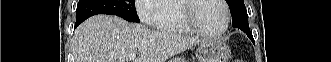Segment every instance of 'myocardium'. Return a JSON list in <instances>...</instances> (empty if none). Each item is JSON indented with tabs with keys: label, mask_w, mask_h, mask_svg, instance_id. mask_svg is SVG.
I'll return each instance as SVG.
<instances>
[{
	"label": "myocardium",
	"mask_w": 331,
	"mask_h": 62,
	"mask_svg": "<svg viewBox=\"0 0 331 62\" xmlns=\"http://www.w3.org/2000/svg\"><path fill=\"white\" fill-rule=\"evenodd\" d=\"M199 0H183L181 1V14L185 25L195 34L208 38H218L226 33L230 25V11L225 1L216 0L224 10V26L217 32H209L204 30L193 16V10Z\"/></svg>",
	"instance_id": "1"
}]
</instances>
